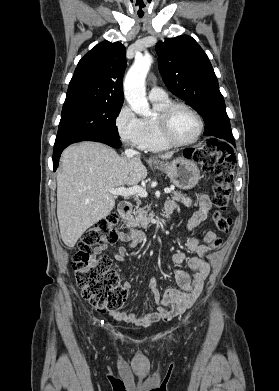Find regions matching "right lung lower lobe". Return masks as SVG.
<instances>
[{
    "instance_id": "obj_1",
    "label": "right lung lower lobe",
    "mask_w": 279,
    "mask_h": 391,
    "mask_svg": "<svg viewBox=\"0 0 279 391\" xmlns=\"http://www.w3.org/2000/svg\"><path fill=\"white\" fill-rule=\"evenodd\" d=\"M84 140L98 141V142H102V143L108 144V145H110L112 147H116V148L121 146V141L119 140L118 135L115 133H112V132H102L99 134H94V135H90V136H87L84 138H80V139L73 141V142H70V143H63V144H59V145H54V152H53V169H54V171L58 167V162H59V158H60L62 151L69 144L79 142V141H84Z\"/></svg>"
}]
</instances>
